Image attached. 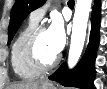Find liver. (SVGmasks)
Returning a JSON list of instances; mask_svg holds the SVG:
<instances>
[{"label":"liver","mask_w":107,"mask_h":89,"mask_svg":"<svg viewBox=\"0 0 107 89\" xmlns=\"http://www.w3.org/2000/svg\"><path fill=\"white\" fill-rule=\"evenodd\" d=\"M47 84L49 83L41 81H23L10 85L8 89H40L41 87H44Z\"/></svg>","instance_id":"obj_1"}]
</instances>
